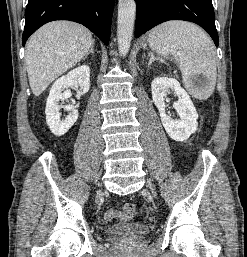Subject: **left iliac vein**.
Masks as SVG:
<instances>
[{
  "instance_id": "4c4485c4",
  "label": "left iliac vein",
  "mask_w": 247,
  "mask_h": 257,
  "mask_svg": "<svg viewBox=\"0 0 247 257\" xmlns=\"http://www.w3.org/2000/svg\"><path fill=\"white\" fill-rule=\"evenodd\" d=\"M148 186H149V188H150L152 194L155 195V192H154V189H153L152 185L149 183Z\"/></svg>"
}]
</instances>
